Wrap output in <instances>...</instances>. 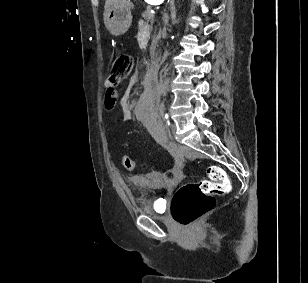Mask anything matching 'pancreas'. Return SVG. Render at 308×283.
Segmentation results:
<instances>
[{
	"label": "pancreas",
	"mask_w": 308,
	"mask_h": 283,
	"mask_svg": "<svg viewBox=\"0 0 308 283\" xmlns=\"http://www.w3.org/2000/svg\"><path fill=\"white\" fill-rule=\"evenodd\" d=\"M142 17L147 21V22H153L154 21V15L151 13L150 9L148 8L146 11L142 13Z\"/></svg>",
	"instance_id": "1"
}]
</instances>
